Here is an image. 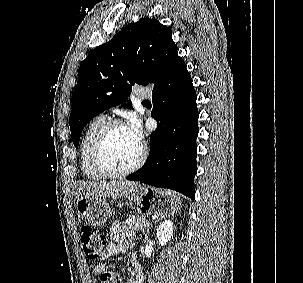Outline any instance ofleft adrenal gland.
Wrapping results in <instances>:
<instances>
[{"label":"left adrenal gland","instance_id":"1","mask_svg":"<svg viewBox=\"0 0 303 283\" xmlns=\"http://www.w3.org/2000/svg\"><path fill=\"white\" fill-rule=\"evenodd\" d=\"M157 221H159V219H158ZM157 221H156V222H157ZM151 227H152V225H150V227H148L147 230H146V233H145V240L147 239V234H148V232H149V230H150Z\"/></svg>","mask_w":303,"mask_h":283}]
</instances>
